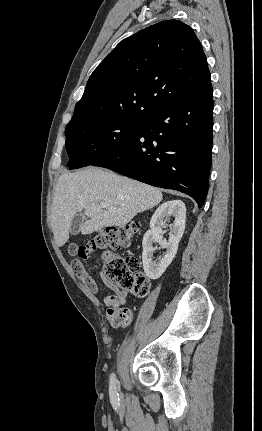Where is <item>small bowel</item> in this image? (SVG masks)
<instances>
[{
	"mask_svg": "<svg viewBox=\"0 0 262 431\" xmlns=\"http://www.w3.org/2000/svg\"><path fill=\"white\" fill-rule=\"evenodd\" d=\"M83 270L77 273L78 278L82 281L84 286L91 292L98 293L99 286L97 281L86 271L84 265ZM112 293L105 296L103 299L104 305L107 307V315L110 317L114 312L123 310L122 305L126 300L127 293L125 291L119 290L115 287H110ZM131 314L130 309H126Z\"/></svg>",
	"mask_w": 262,
	"mask_h": 431,
	"instance_id": "1",
	"label": "small bowel"
}]
</instances>
